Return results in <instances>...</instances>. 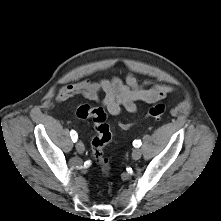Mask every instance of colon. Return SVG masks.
I'll use <instances>...</instances> for the list:
<instances>
[{
	"instance_id": "obj_1",
	"label": "colon",
	"mask_w": 221,
	"mask_h": 221,
	"mask_svg": "<svg viewBox=\"0 0 221 221\" xmlns=\"http://www.w3.org/2000/svg\"><path fill=\"white\" fill-rule=\"evenodd\" d=\"M166 113V105L163 103L150 107L146 114V118H161ZM76 116L79 119H91L93 122L95 136L91 142L92 158L101 167L105 176L110 174V165L107 158L104 157V147L111 141L112 133L107 122V114L103 108L92 107L84 104L77 108ZM132 126L129 122H120L121 129H128Z\"/></svg>"
}]
</instances>
